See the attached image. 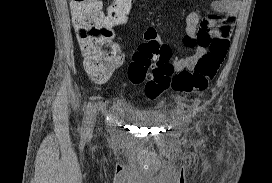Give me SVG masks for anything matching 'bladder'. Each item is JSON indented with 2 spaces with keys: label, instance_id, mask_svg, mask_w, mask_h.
<instances>
[{
  "label": "bladder",
  "instance_id": "31cf9c89",
  "mask_svg": "<svg viewBox=\"0 0 272 183\" xmlns=\"http://www.w3.org/2000/svg\"><path fill=\"white\" fill-rule=\"evenodd\" d=\"M139 121H142V122H144V123H151V119H139Z\"/></svg>",
  "mask_w": 272,
  "mask_h": 183
}]
</instances>
